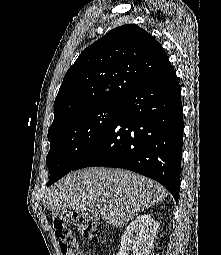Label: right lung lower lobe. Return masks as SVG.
<instances>
[{
  "label": "right lung lower lobe",
  "instance_id": "1",
  "mask_svg": "<svg viewBox=\"0 0 221 255\" xmlns=\"http://www.w3.org/2000/svg\"><path fill=\"white\" fill-rule=\"evenodd\" d=\"M182 142L181 91L169 62L120 103L108 127L72 170H132L164 185L178 203Z\"/></svg>",
  "mask_w": 221,
  "mask_h": 255
}]
</instances>
